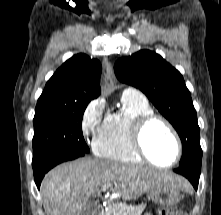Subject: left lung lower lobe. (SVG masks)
<instances>
[{
    "label": "left lung lower lobe",
    "instance_id": "0a47b994",
    "mask_svg": "<svg viewBox=\"0 0 221 215\" xmlns=\"http://www.w3.org/2000/svg\"><path fill=\"white\" fill-rule=\"evenodd\" d=\"M200 170L201 167H194V166H184L178 167L174 171L178 174L185 176L193 185L195 190H197L199 177H200Z\"/></svg>",
    "mask_w": 221,
    "mask_h": 215
}]
</instances>
